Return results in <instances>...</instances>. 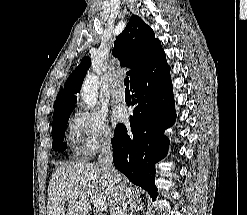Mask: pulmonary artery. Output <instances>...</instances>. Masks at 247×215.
<instances>
[{
    "label": "pulmonary artery",
    "mask_w": 247,
    "mask_h": 215,
    "mask_svg": "<svg viewBox=\"0 0 247 215\" xmlns=\"http://www.w3.org/2000/svg\"><path fill=\"white\" fill-rule=\"evenodd\" d=\"M111 95L117 100H123L125 97L123 88L118 84L113 86V89L111 90Z\"/></svg>",
    "instance_id": "obj_1"
}]
</instances>
